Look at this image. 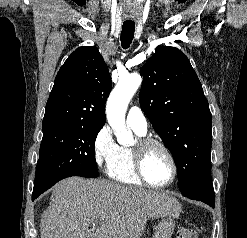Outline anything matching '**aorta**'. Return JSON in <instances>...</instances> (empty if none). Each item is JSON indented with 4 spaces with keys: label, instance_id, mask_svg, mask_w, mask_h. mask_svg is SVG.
Here are the masks:
<instances>
[{
    "label": "aorta",
    "instance_id": "aorta-1",
    "mask_svg": "<svg viewBox=\"0 0 247 238\" xmlns=\"http://www.w3.org/2000/svg\"><path fill=\"white\" fill-rule=\"evenodd\" d=\"M141 82L142 78L138 74L120 78L107 101L106 115L108 123L113 129L117 141L122 145L130 144L133 141V134L125 125V113Z\"/></svg>",
    "mask_w": 247,
    "mask_h": 238
}]
</instances>
